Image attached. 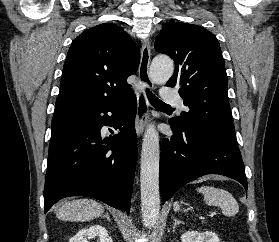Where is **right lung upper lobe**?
Instances as JSON below:
<instances>
[{"label": "right lung upper lobe", "mask_w": 279, "mask_h": 242, "mask_svg": "<svg viewBox=\"0 0 279 242\" xmlns=\"http://www.w3.org/2000/svg\"><path fill=\"white\" fill-rule=\"evenodd\" d=\"M139 61L137 44L121 27L103 23L87 29L68 51L53 118L126 100L133 94L127 78Z\"/></svg>", "instance_id": "obj_1"}]
</instances>
